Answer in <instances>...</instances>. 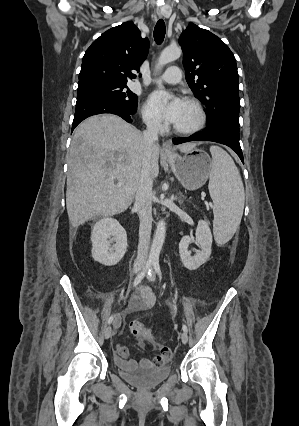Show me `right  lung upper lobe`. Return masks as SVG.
<instances>
[{
  "label": "right lung upper lobe",
  "instance_id": "1",
  "mask_svg": "<svg viewBox=\"0 0 299 426\" xmlns=\"http://www.w3.org/2000/svg\"><path fill=\"white\" fill-rule=\"evenodd\" d=\"M149 40L133 22L113 27L97 38L85 52L78 86L91 83L126 84L146 59Z\"/></svg>",
  "mask_w": 299,
  "mask_h": 426
}]
</instances>
